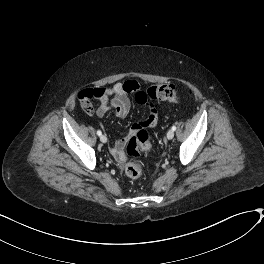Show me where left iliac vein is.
I'll use <instances>...</instances> for the list:
<instances>
[{
  "label": "left iliac vein",
  "mask_w": 264,
  "mask_h": 264,
  "mask_svg": "<svg viewBox=\"0 0 264 264\" xmlns=\"http://www.w3.org/2000/svg\"><path fill=\"white\" fill-rule=\"evenodd\" d=\"M166 137H167V139H169V140L173 139V137H174V131H173V130H169V131L167 132V134H166Z\"/></svg>",
  "instance_id": "1"
}]
</instances>
